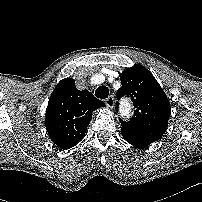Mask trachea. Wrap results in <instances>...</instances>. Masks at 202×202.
Listing matches in <instances>:
<instances>
[{"mask_svg":"<svg viewBox=\"0 0 202 202\" xmlns=\"http://www.w3.org/2000/svg\"><path fill=\"white\" fill-rule=\"evenodd\" d=\"M109 95V89L106 86H100L95 91V96L100 99H105Z\"/></svg>","mask_w":202,"mask_h":202,"instance_id":"obj_1","label":"trachea"}]
</instances>
